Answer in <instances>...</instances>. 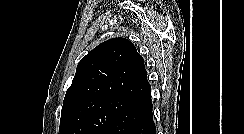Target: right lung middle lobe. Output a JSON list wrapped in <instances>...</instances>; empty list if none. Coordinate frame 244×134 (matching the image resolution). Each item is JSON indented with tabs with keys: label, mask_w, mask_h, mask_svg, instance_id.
I'll use <instances>...</instances> for the list:
<instances>
[{
	"label": "right lung middle lobe",
	"mask_w": 244,
	"mask_h": 134,
	"mask_svg": "<svg viewBox=\"0 0 244 134\" xmlns=\"http://www.w3.org/2000/svg\"><path fill=\"white\" fill-rule=\"evenodd\" d=\"M131 101L122 97H104L83 102L60 119V134H102Z\"/></svg>",
	"instance_id": "obj_1"
}]
</instances>
